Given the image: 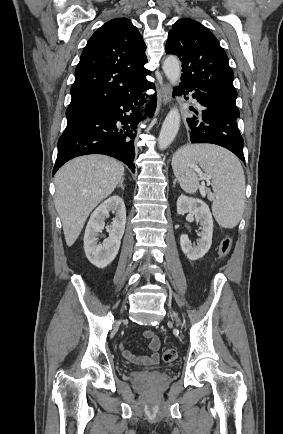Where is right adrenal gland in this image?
I'll use <instances>...</instances> for the list:
<instances>
[{
	"mask_svg": "<svg viewBox=\"0 0 283 434\" xmlns=\"http://www.w3.org/2000/svg\"><path fill=\"white\" fill-rule=\"evenodd\" d=\"M123 181H124V178H122V180L119 182V185H118V188H121L122 190L125 189V187L123 185Z\"/></svg>",
	"mask_w": 283,
	"mask_h": 434,
	"instance_id": "2a0ac1e0",
	"label": "right adrenal gland"
}]
</instances>
